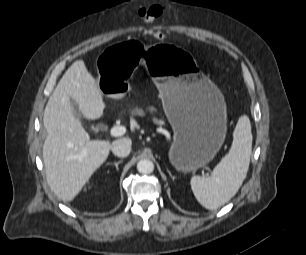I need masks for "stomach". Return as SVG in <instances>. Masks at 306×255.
Listing matches in <instances>:
<instances>
[{"label": "stomach", "mask_w": 306, "mask_h": 255, "mask_svg": "<svg viewBox=\"0 0 306 255\" xmlns=\"http://www.w3.org/2000/svg\"><path fill=\"white\" fill-rule=\"evenodd\" d=\"M135 41L106 48L97 59L98 88L102 95L119 99L130 91L127 77L140 62ZM143 61L153 74L165 114L174 130L169 159L183 172L209 163L226 135V105L209 78L197 72L193 58L183 50L152 45Z\"/></svg>", "instance_id": "0dacf381"}]
</instances>
